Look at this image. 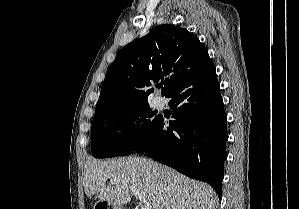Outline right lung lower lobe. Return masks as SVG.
<instances>
[{"label":"right lung lower lobe","instance_id":"obj_1","mask_svg":"<svg viewBox=\"0 0 299 209\" xmlns=\"http://www.w3.org/2000/svg\"><path fill=\"white\" fill-rule=\"evenodd\" d=\"M166 97L175 120L166 127L160 116L133 152L208 182L220 198L228 133L216 70L186 77Z\"/></svg>","mask_w":299,"mask_h":209}]
</instances>
